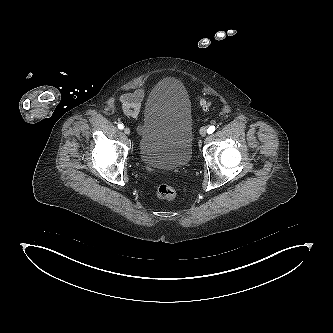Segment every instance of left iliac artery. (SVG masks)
<instances>
[{"label":"left iliac artery","instance_id":"obj_1","mask_svg":"<svg viewBox=\"0 0 333 333\" xmlns=\"http://www.w3.org/2000/svg\"><path fill=\"white\" fill-rule=\"evenodd\" d=\"M214 131H215V127H214V126H210V127L207 129V133H208V134H212Z\"/></svg>","mask_w":333,"mask_h":333}]
</instances>
